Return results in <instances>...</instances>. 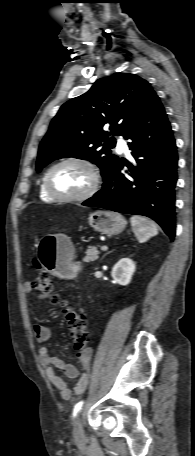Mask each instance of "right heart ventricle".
<instances>
[{"label": "right heart ventricle", "instance_id": "obj_1", "mask_svg": "<svg viewBox=\"0 0 195 456\" xmlns=\"http://www.w3.org/2000/svg\"><path fill=\"white\" fill-rule=\"evenodd\" d=\"M39 196L41 200L49 202L52 201L53 199L46 193L44 186H43V179L39 185Z\"/></svg>", "mask_w": 195, "mask_h": 456}]
</instances>
